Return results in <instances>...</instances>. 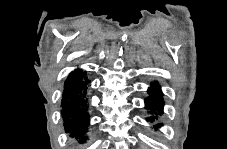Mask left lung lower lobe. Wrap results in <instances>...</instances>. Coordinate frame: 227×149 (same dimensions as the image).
<instances>
[{
	"mask_svg": "<svg viewBox=\"0 0 227 149\" xmlns=\"http://www.w3.org/2000/svg\"><path fill=\"white\" fill-rule=\"evenodd\" d=\"M148 92L151 95L145 100L146 108L149 109L151 113H155L156 111L159 112V114L162 113L164 103L162 100V92L158 83H151V87L149 88ZM148 101H151V103H148ZM156 118L157 117L152 116L147 118V120L154 122ZM159 126L160 125H157V127Z\"/></svg>",
	"mask_w": 227,
	"mask_h": 149,
	"instance_id": "left-lung-lower-lobe-1",
	"label": "left lung lower lobe"
}]
</instances>
